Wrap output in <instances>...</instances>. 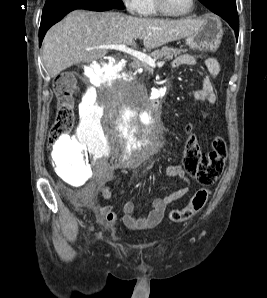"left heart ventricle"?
<instances>
[{
	"mask_svg": "<svg viewBox=\"0 0 267 298\" xmlns=\"http://www.w3.org/2000/svg\"><path fill=\"white\" fill-rule=\"evenodd\" d=\"M167 8L174 13H183L191 5V0H164Z\"/></svg>",
	"mask_w": 267,
	"mask_h": 298,
	"instance_id": "obj_1",
	"label": "left heart ventricle"
}]
</instances>
